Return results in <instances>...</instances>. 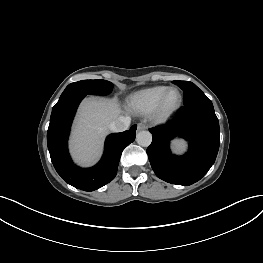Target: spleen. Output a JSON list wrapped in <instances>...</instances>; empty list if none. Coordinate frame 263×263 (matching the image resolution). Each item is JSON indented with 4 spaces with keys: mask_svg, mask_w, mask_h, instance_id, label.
Listing matches in <instances>:
<instances>
[{
    "mask_svg": "<svg viewBox=\"0 0 263 263\" xmlns=\"http://www.w3.org/2000/svg\"><path fill=\"white\" fill-rule=\"evenodd\" d=\"M187 144L182 140L173 141V150L177 153H182L185 151Z\"/></svg>",
    "mask_w": 263,
    "mask_h": 263,
    "instance_id": "3e777b00",
    "label": "spleen"
}]
</instances>
